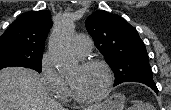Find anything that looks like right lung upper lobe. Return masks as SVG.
Returning a JSON list of instances; mask_svg holds the SVG:
<instances>
[{
	"instance_id": "1",
	"label": "right lung upper lobe",
	"mask_w": 171,
	"mask_h": 110,
	"mask_svg": "<svg viewBox=\"0 0 171 110\" xmlns=\"http://www.w3.org/2000/svg\"><path fill=\"white\" fill-rule=\"evenodd\" d=\"M51 26V13L47 10L21 14L0 37V44H15L43 52Z\"/></svg>"
}]
</instances>
